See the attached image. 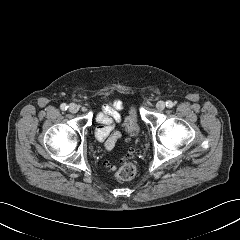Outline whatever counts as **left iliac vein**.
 <instances>
[{
    "mask_svg": "<svg viewBox=\"0 0 240 240\" xmlns=\"http://www.w3.org/2000/svg\"><path fill=\"white\" fill-rule=\"evenodd\" d=\"M156 108H157L158 110H163V109L165 108V102H164V101H158V102L156 103Z\"/></svg>",
    "mask_w": 240,
    "mask_h": 240,
    "instance_id": "left-iliac-vein-1",
    "label": "left iliac vein"
}]
</instances>
